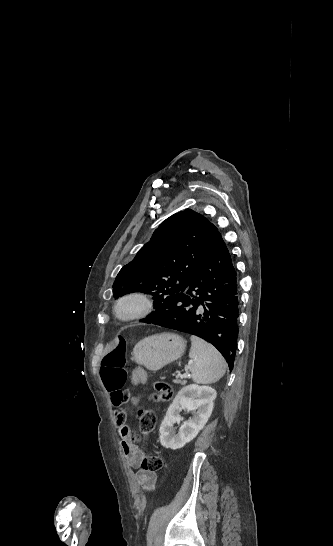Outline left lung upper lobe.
<instances>
[{"label":"left lung upper lobe","mask_w":333,"mask_h":546,"mask_svg":"<svg viewBox=\"0 0 333 546\" xmlns=\"http://www.w3.org/2000/svg\"><path fill=\"white\" fill-rule=\"evenodd\" d=\"M218 229L201 214L186 209L165 221L136 257L118 273L114 297L131 292L153 295L154 320L170 309L173 297L186 291L208 256Z\"/></svg>","instance_id":"left-lung-upper-lobe-1"}]
</instances>
